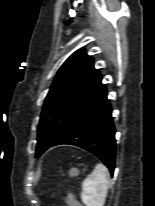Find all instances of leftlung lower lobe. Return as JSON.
Listing matches in <instances>:
<instances>
[{
	"instance_id": "obj_1",
	"label": "left lung lower lobe",
	"mask_w": 155,
	"mask_h": 206,
	"mask_svg": "<svg viewBox=\"0 0 155 206\" xmlns=\"http://www.w3.org/2000/svg\"><path fill=\"white\" fill-rule=\"evenodd\" d=\"M111 113L106 91L84 111L71 129L51 146L68 144L83 148L97 156L113 174L116 140Z\"/></svg>"
}]
</instances>
